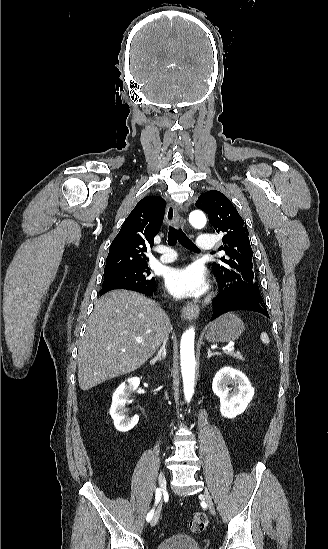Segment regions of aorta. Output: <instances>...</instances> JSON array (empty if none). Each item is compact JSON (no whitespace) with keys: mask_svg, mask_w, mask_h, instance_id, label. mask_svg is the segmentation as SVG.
<instances>
[{"mask_svg":"<svg viewBox=\"0 0 328 549\" xmlns=\"http://www.w3.org/2000/svg\"><path fill=\"white\" fill-rule=\"evenodd\" d=\"M190 224L197 229L203 228L206 224V216L202 211L194 210L189 215ZM195 330L193 327L187 329L180 341V360L183 378L184 396L190 402L194 393L195 355H194Z\"/></svg>","mask_w":328,"mask_h":549,"instance_id":"obj_1","label":"aorta"}]
</instances>
